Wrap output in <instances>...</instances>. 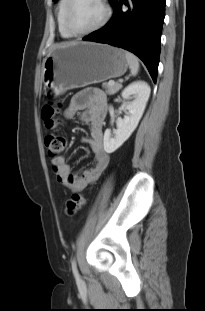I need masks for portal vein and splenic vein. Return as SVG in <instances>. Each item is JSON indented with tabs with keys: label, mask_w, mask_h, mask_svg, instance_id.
Instances as JSON below:
<instances>
[{
	"label": "portal vein and splenic vein",
	"mask_w": 205,
	"mask_h": 311,
	"mask_svg": "<svg viewBox=\"0 0 205 311\" xmlns=\"http://www.w3.org/2000/svg\"><path fill=\"white\" fill-rule=\"evenodd\" d=\"M109 84L113 85V84H115V82L114 81H109Z\"/></svg>",
	"instance_id": "obj_1"
}]
</instances>
